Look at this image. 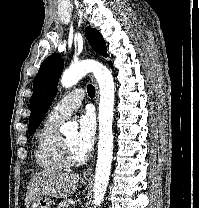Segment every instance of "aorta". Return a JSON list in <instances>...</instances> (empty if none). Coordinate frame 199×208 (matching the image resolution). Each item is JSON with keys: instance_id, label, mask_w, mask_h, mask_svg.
Returning a JSON list of instances; mask_svg holds the SVG:
<instances>
[{"instance_id": "aorta-1", "label": "aorta", "mask_w": 199, "mask_h": 208, "mask_svg": "<svg viewBox=\"0 0 199 208\" xmlns=\"http://www.w3.org/2000/svg\"><path fill=\"white\" fill-rule=\"evenodd\" d=\"M92 72L100 88L99 103V142L98 158L96 164L94 180V208L100 206L109 182L111 163L113 158V107H114V81L111 72L103 64L94 60H84L72 64L65 70L61 77L63 87L75 85L87 73ZM76 127L68 122L64 124L60 131L67 133Z\"/></svg>"}]
</instances>
